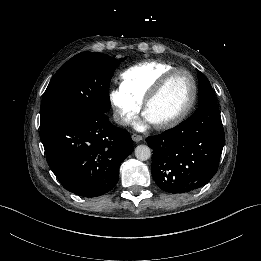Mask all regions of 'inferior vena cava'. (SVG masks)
Segmentation results:
<instances>
[{
	"label": "inferior vena cava",
	"instance_id": "602c4592",
	"mask_svg": "<svg viewBox=\"0 0 261 261\" xmlns=\"http://www.w3.org/2000/svg\"><path fill=\"white\" fill-rule=\"evenodd\" d=\"M114 120H115V122L119 123L120 125L128 124V120L125 117L120 116L118 113H114Z\"/></svg>",
	"mask_w": 261,
	"mask_h": 261
}]
</instances>
